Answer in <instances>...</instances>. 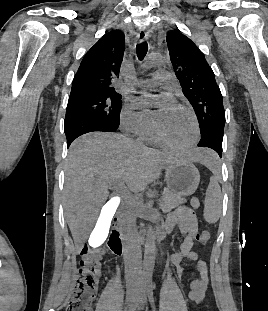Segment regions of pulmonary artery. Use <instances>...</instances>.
Wrapping results in <instances>:
<instances>
[{
  "instance_id": "e3ab8cb5",
  "label": "pulmonary artery",
  "mask_w": 268,
  "mask_h": 311,
  "mask_svg": "<svg viewBox=\"0 0 268 311\" xmlns=\"http://www.w3.org/2000/svg\"><path fill=\"white\" fill-rule=\"evenodd\" d=\"M172 73L166 70L155 72L151 78L139 79L137 85L140 88H151L159 84L168 83L172 80Z\"/></svg>"
}]
</instances>
